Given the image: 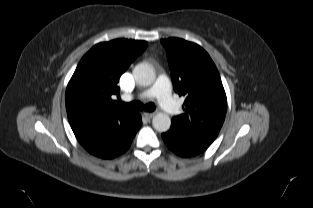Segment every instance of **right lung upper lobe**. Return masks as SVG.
I'll return each mask as SVG.
<instances>
[{
  "label": "right lung upper lobe",
  "instance_id": "1",
  "mask_svg": "<svg viewBox=\"0 0 313 208\" xmlns=\"http://www.w3.org/2000/svg\"><path fill=\"white\" fill-rule=\"evenodd\" d=\"M146 47L145 41L116 39L93 46L82 57L66 89L70 124L106 118L124 121L135 113L112 96L119 94L120 76Z\"/></svg>",
  "mask_w": 313,
  "mask_h": 208
}]
</instances>
